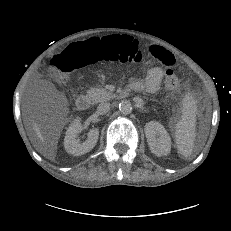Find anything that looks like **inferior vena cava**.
<instances>
[{
  "mask_svg": "<svg viewBox=\"0 0 231 231\" xmlns=\"http://www.w3.org/2000/svg\"><path fill=\"white\" fill-rule=\"evenodd\" d=\"M110 106L111 104L108 102L100 103L97 107V113L100 115L108 113V111L110 110Z\"/></svg>",
  "mask_w": 231,
  "mask_h": 231,
  "instance_id": "obj_1",
  "label": "inferior vena cava"
}]
</instances>
